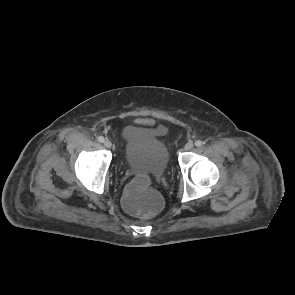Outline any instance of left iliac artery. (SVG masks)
Here are the masks:
<instances>
[{
    "instance_id": "44dca946",
    "label": "left iliac artery",
    "mask_w": 295,
    "mask_h": 295,
    "mask_svg": "<svg viewBox=\"0 0 295 295\" xmlns=\"http://www.w3.org/2000/svg\"><path fill=\"white\" fill-rule=\"evenodd\" d=\"M195 145H196L197 147H201V146L203 145V142L200 141V140H197V141L195 142Z\"/></svg>"
}]
</instances>
